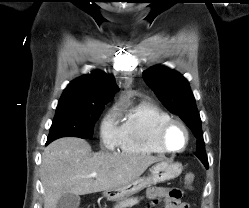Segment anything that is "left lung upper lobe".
<instances>
[{
	"label": "left lung upper lobe",
	"mask_w": 249,
	"mask_h": 208,
	"mask_svg": "<svg viewBox=\"0 0 249 208\" xmlns=\"http://www.w3.org/2000/svg\"><path fill=\"white\" fill-rule=\"evenodd\" d=\"M143 78L162 104L170 112L176 113L193 131L198 139L195 155L208 168L201 119L188 81L178 72L163 66L149 68L143 72Z\"/></svg>",
	"instance_id": "1"
}]
</instances>
